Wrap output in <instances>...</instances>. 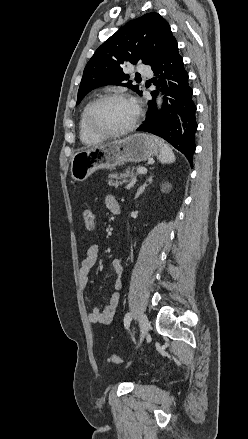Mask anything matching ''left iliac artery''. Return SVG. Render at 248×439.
I'll use <instances>...</instances> for the list:
<instances>
[{
  "label": "left iliac artery",
  "mask_w": 248,
  "mask_h": 439,
  "mask_svg": "<svg viewBox=\"0 0 248 439\" xmlns=\"http://www.w3.org/2000/svg\"><path fill=\"white\" fill-rule=\"evenodd\" d=\"M131 320H132V313L128 312L124 317V325L127 329L129 327Z\"/></svg>",
  "instance_id": "left-iliac-artery-1"
}]
</instances>
